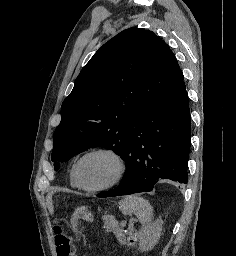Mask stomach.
Instances as JSON below:
<instances>
[{"label": "stomach", "mask_w": 236, "mask_h": 256, "mask_svg": "<svg viewBox=\"0 0 236 256\" xmlns=\"http://www.w3.org/2000/svg\"><path fill=\"white\" fill-rule=\"evenodd\" d=\"M79 219H83L86 221H93V214L91 211L88 210V208L86 207H78L71 219L72 225H73V229L75 230V232H77V226H78V220Z\"/></svg>", "instance_id": "obj_1"}]
</instances>
